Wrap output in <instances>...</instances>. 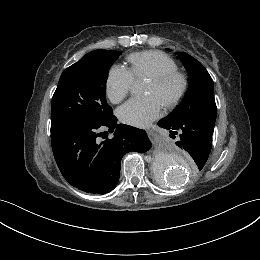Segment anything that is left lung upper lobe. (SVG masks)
<instances>
[{"label":"left lung upper lobe","mask_w":260,"mask_h":260,"mask_svg":"<svg viewBox=\"0 0 260 260\" xmlns=\"http://www.w3.org/2000/svg\"><path fill=\"white\" fill-rule=\"evenodd\" d=\"M179 58L189 73V90L182 103L168 117L178 121L188 117L215 125L217 107L214 98V84L202 64L187 53Z\"/></svg>","instance_id":"left-lung-upper-lobe-1"}]
</instances>
